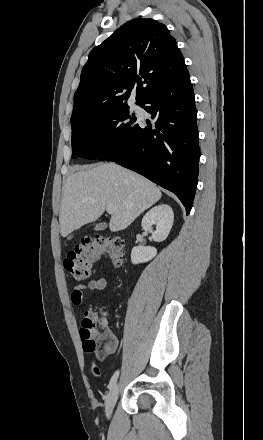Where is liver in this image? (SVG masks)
<instances>
[{
    "mask_svg": "<svg viewBox=\"0 0 263 440\" xmlns=\"http://www.w3.org/2000/svg\"><path fill=\"white\" fill-rule=\"evenodd\" d=\"M162 196L158 187L115 163L77 168L65 183L59 213L63 237L85 224L96 221L106 206H115L109 229H126L143 211Z\"/></svg>",
    "mask_w": 263,
    "mask_h": 440,
    "instance_id": "6515ba94",
    "label": "liver"
}]
</instances>
